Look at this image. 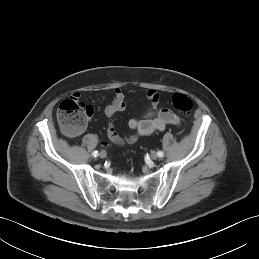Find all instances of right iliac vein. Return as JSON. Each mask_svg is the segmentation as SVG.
I'll return each mask as SVG.
<instances>
[{
    "label": "right iliac vein",
    "mask_w": 259,
    "mask_h": 259,
    "mask_svg": "<svg viewBox=\"0 0 259 259\" xmlns=\"http://www.w3.org/2000/svg\"><path fill=\"white\" fill-rule=\"evenodd\" d=\"M106 156H107V153L105 151H101L99 153V157L102 158V159L106 158Z\"/></svg>",
    "instance_id": "63e3f726"
}]
</instances>
